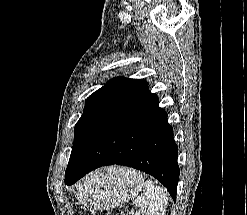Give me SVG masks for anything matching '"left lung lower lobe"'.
I'll use <instances>...</instances> for the list:
<instances>
[{
    "label": "left lung lower lobe",
    "instance_id": "left-lung-lower-lobe-1",
    "mask_svg": "<svg viewBox=\"0 0 247 215\" xmlns=\"http://www.w3.org/2000/svg\"><path fill=\"white\" fill-rule=\"evenodd\" d=\"M148 85L131 106L98 139L84 140L69 160L65 183L106 165L129 166L154 176L176 200L178 147L167 113Z\"/></svg>",
    "mask_w": 247,
    "mask_h": 215
}]
</instances>
